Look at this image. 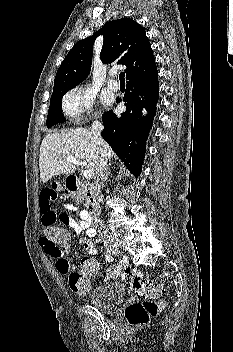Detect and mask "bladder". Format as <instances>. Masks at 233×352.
I'll return each instance as SVG.
<instances>
[{
	"label": "bladder",
	"instance_id": "bladder-1",
	"mask_svg": "<svg viewBox=\"0 0 233 352\" xmlns=\"http://www.w3.org/2000/svg\"><path fill=\"white\" fill-rule=\"evenodd\" d=\"M125 291L119 284H106L97 287L92 295L91 304L105 313H114L124 302Z\"/></svg>",
	"mask_w": 233,
	"mask_h": 352
}]
</instances>
